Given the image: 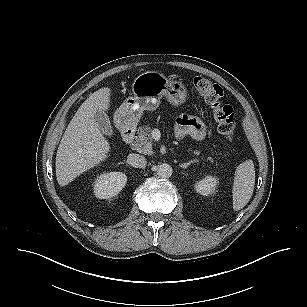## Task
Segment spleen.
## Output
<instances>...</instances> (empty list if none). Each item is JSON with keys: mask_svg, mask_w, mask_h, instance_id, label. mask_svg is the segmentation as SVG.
<instances>
[{"mask_svg": "<svg viewBox=\"0 0 307 307\" xmlns=\"http://www.w3.org/2000/svg\"><path fill=\"white\" fill-rule=\"evenodd\" d=\"M255 185V167L252 160L241 163L235 171L232 188L233 209L241 210L251 199Z\"/></svg>", "mask_w": 307, "mask_h": 307, "instance_id": "1", "label": "spleen"}]
</instances>
